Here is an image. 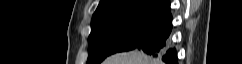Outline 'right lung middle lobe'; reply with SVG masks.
Wrapping results in <instances>:
<instances>
[{
    "label": "right lung middle lobe",
    "instance_id": "right-lung-middle-lobe-1",
    "mask_svg": "<svg viewBox=\"0 0 242 64\" xmlns=\"http://www.w3.org/2000/svg\"><path fill=\"white\" fill-rule=\"evenodd\" d=\"M164 19L163 13L133 11L92 21L87 64H99L111 54L137 48Z\"/></svg>",
    "mask_w": 242,
    "mask_h": 64
}]
</instances>
